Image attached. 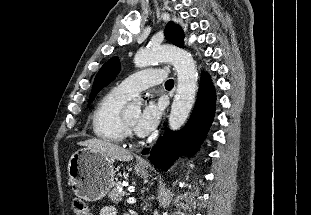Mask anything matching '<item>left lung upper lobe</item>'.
<instances>
[{"mask_svg": "<svg viewBox=\"0 0 311 215\" xmlns=\"http://www.w3.org/2000/svg\"><path fill=\"white\" fill-rule=\"evenodd\" d=\"M166 39L178 47L184 48V33L180 26L169 22L164 30ZM120 71V63L117 57L107 61L97 73L90 94V102L95 98V95L111 81L115 79Z\"/></svg>", "mask_w": 311, "mask_h": 215, "instance_id": "5c2ea615", "label": "left lung upper lobe"}]
</instances>
